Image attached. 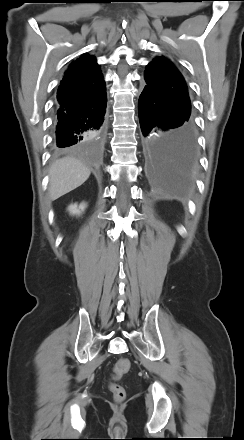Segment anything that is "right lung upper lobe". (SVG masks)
Listing matches in <instances>:
<instances>
[{
	"mask_svg": "<svg viewBox=\"0 0 244 440\" xmlns=\"http://www.w3.org/2000/svg\"><path fill=\"white\" fill-rule=\"evenodd\" d=\"M95 57L83 55L73 62L57 91V106L82 104L105 93V82Z\"/></svg>",
	"mask_w": 244,
	"mask_h": 440,
	"instance_id": "1",
	"label": "right lung upper lobe"
}]
</instances>
